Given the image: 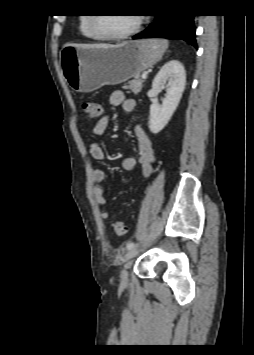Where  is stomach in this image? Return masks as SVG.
Here are the masks:
<instances>
[{
  "mask_svg": "<svg viewBox=\"0 0 254 355\" xmlns=\"http://www.w3.org/2000/svg\"><path fill=\"white\" fill-rule=\"evenodd\" d=\"M167 48L164 39L127 41L114 47L66 45L60 52V63L69 86L89 93L139 76L160 61Z\"/></svg>",
  "mask_w": 254,
  "mask_h": 355,
  "instance_id": "obj_1",
  "label": "stomach"
}]
</instances>
